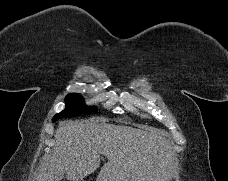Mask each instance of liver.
<instances>
[{"label": "liver", "mask_w": 228, "mask_h": 181, "mask_svg": "<svg viewBox=\"0 0 228 181\" xmlns=\"http://www.w3.org/2000/svg\"><path fill=\"white\" fill-rule=\"evenodd\" d=\"M47 163L36 181H54L64 173L67 181H81L99 169L100 155L108 159L98 181H171L176 159L166 133L157 129H132L109 125L97 117L61 123Z\"/></svg>", "instance_id": "1"}]
</instances>
